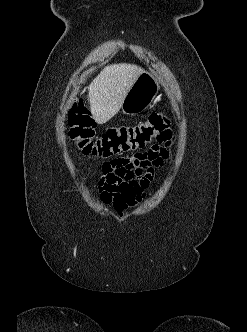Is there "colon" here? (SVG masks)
Listing matches in <instances>:
<instances>
[{"label": "colon", "instance_id": "1", "mask_svg": "<svg viewBox=\"0 0 247 332\" xmlns=\"http://www.w3.org/2000/svg\"><path fill=\"white\" fill-rule=\"evenodd\" d=\"M69 113L70 137L85 156L110 158L122 152L152 148L171 137L169 119L162 111L152 112L134 126L109 129L101 136H95V121L83 102L75 103Z\"/></svg>", "mask_w": 247, "mask_h": 332}]
</instances>
